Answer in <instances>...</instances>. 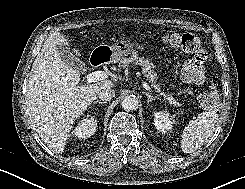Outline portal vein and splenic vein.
Here are the masks:
<instances>
[{"label":"portal vein and splenic vein","instance_id":"1","mask_svg":"<svg viewBox=\"0 0 245 189\" xmlns=\"http://www.w3.org/2000/svg\"><path fill=\"white\" fill-rule=\"evenodd\" d=\"M107 77H108L107 72L99 70V71H95V72L88 74L86 76V81H87V83H92V82H97V81L106 79ZM143 86L149 92L152 91L151 87L146 82H143ZM173 104H175V103H173Z\"/></svg>","mask_w":245,"mask_h":189}]
</instances>
